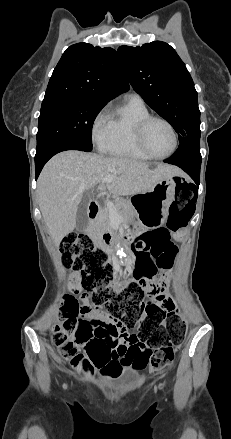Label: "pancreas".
<instances>
[{
    "label": "pancreas",
    "mask_w": 231,
    "mask_h": 439,
    "mask_svg": "<svg viewBox=\"0 0 231 439\" xmlns=\"http://www.w3.org/2000/svg\"><path fill=\"white\" fill-rule=\"evenodd\" d=\"M114 207L118 214L120 222H128L134 215V208L129 200L117 198L114 201ZM99 221L102 229L109 228L111 225V215L108 207H105L100 216Z\"/></svg>",
    "instance_id": "obj_1"
}]
</instances>
